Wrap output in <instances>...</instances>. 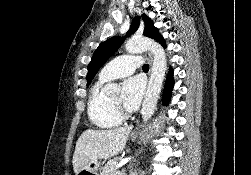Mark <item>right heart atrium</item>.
Instances as JSON below:
<instances>
[{
	"instance_id": "right-heart-atrium-1",
	"label": "right heart atrium",
	"mask_w": 251,
	"mask_h": 175,
	"mask_svg": "<svg viewBox=\"0 0 251 175\" xmlns=\"http://www.w3.org/2000/svg\"><path fill=\"white\" fill-rule=\"evenodd\" d=\"M117 114H118V115H122V113H121L120 111H117Z\"/></svg>"
}]
</instances>
